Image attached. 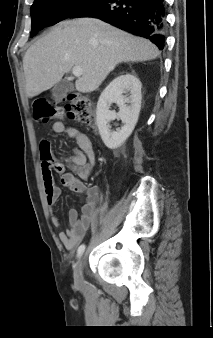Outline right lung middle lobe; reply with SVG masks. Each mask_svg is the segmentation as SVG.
Wrapping results in <instances>:
<instances>
[{
  "instance_id": "right-lung-middle-lobe-1",
  "label": "right lung middle lobe",
  "mask_w": 213,
  "mask_h": 338,
  "mask_svg": "<svg viewBox=\"0 0 213 338\" xmlns=\"http://www.w3.org/2000/svg\"><path fill=\"white\" fill-rule=\"evenodd\" d=\"M95 0H35L31 6V36L45 27L71 17L80 8Z\"/></svg>"
}]
</instances>
